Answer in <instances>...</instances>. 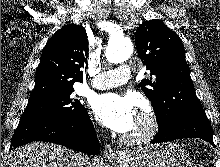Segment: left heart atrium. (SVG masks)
<instances>
[{
	"label": "left heart atrium",
	"instance_id": "left-heart-atrium-1",
	"mask_svg": "<svg viewBox=\"0 0 220 167\" xmlns=\"http://www.w3.org/2000/svg\"><path fill=\"white\" fill-rule=\"evenodd\" d=\"M135 106L136 102L132 97L116 93L100 94L91 101L95 117L103 125L119 133H127L133 127L137 117Z\"/></svg>",
	"mask_w": 220,
	"mask_h": 167
}]
</instances>
